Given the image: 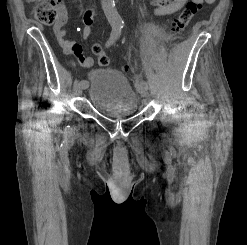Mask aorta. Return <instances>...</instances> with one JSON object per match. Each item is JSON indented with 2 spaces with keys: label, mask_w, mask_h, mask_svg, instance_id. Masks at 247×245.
I'll return each mask as SVG.
<instances>
[{
  "label": "aorta",
  "mask_w": 247,
  "mask_h": 245,
  "mask_svg": "<svg viewBox=\"0 0 247 245\" xmlns=\"http://www.w3.org/2000/svg\"><path fill=\"white\" fill-rule=\"evenodd\" d=\"M106 17L111 25H122L123 20L119 15L114 0H103Z\"/></svg>",
  "instance_id": "1"
}]
</instances>
